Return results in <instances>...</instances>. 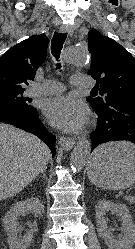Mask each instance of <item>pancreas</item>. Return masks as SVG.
<instances>
[{
  "instance_id": "pancreas-1",
  "label": "pancreas",
  "mask_w": 135,
  "mask_h": 249,
  "mask_svg": "<svg viewBox=\"0 0 135 249\" xmlns=\"http://www.w3.org/2000/svg\"><path fill=\"white\" fill-rule=\"evenodd\" d=\"M129 202L135 203V199L134 198H128L127 199Z\"/></svg>"
}]
</instances>
